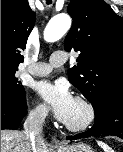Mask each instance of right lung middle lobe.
<instances>
[{"mask_svg":"<svg viewBox=\"0 0 123 152\" xmlns=\"http://www.w3.org/2000/svg\"><path fill=\"white\" fill-rule=\"evenodd\" d=\"M17 70L1 67V100L18 102L25 98V89L15 77Z\"/></svg>","mask_w":123,"mask_h":152,"instance_id":"dd1d6c3e","label":"right lung middle lobe"}]
</instances>
